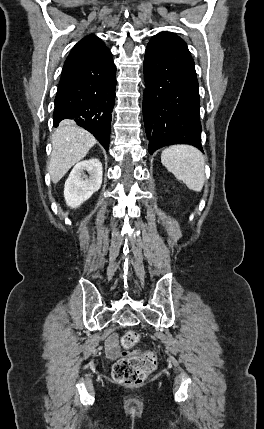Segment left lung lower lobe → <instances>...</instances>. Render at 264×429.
<instances>
[{
    "mask_svg": "<svg viewBox=\"0 0 264 429\" xmlns=\"http://www.w3.org/2000/svg\"><path fill=\"white\" fill-rule=\"evenodd\" d=\"M144 76L149 153L173 144L193 145L203 152L199 86L185 41L172 32L156 34L146 48Z\"/></svg>",
    "mask_w": 264,
    "mask_h": 429,
    "instance_id": "0a47b994",
    "label": "left lung lower lobe"
}]
</instances>
